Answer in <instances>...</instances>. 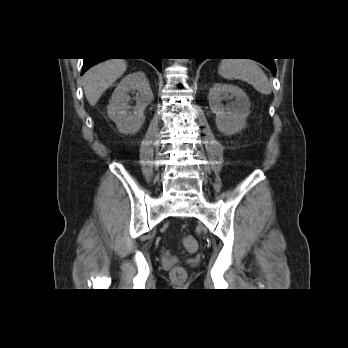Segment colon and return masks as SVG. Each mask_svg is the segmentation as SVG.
I'll return each mask as SVG.
<instances>
[{"label": "colon", "instance_id": "5ec220e1", "mask_svg": "<svg viewBox=\"0 0 348 348\" xmlns=\"http://www.w3.org/2000/svg\"><path fill=\"white\" fill-rule=\"evenodd\" d=\"M181 245H182L183 249L186 250L187 252H195L197 250V242L191 236H186V237L182 238ZM172 275L174 277L183 276L184 271L181 267H175L172 270Z\"/></svg>", "mask_w": 348, "mask_h": 348}]
</instances>
